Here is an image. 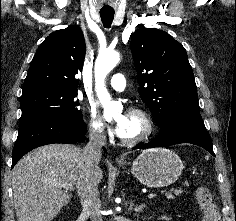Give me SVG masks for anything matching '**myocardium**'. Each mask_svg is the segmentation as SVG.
<instances>
[{
    "mask_svg": "<svg viewBox=\"0 0 236 221\" xmlns=\"http://www.w3.org/2000/svg\"><path fill=\"white\" fill-rule=\"evenodd\" d=\"M129 114L140 117L144 122V131L137 137L124 138L120 136V140L126 145H137L149 140L155 132V122L152 116L142 108H131Z\"/></svg>",
    "mask_w": 236,
    "mask_h": 221,
    "instance_id": "f54148a6",
    "label": "myocardium"
}]
</instances>
